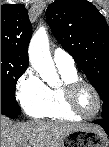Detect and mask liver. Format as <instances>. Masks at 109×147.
<instances>
[{
	"instance_id": "liver-1",
	"label": "liver",
	"mask_w": 109,
	"mask_h": 147,
	"mask_svg": "<svg viewBox=\"0 0 109 147\" xmlns=\"http://www.w3.org/2000/svg\"><path fill=\"white\" fill-rule=\"evenodd\" d=\"M75 130L104 133L93 124H75L32 120L13 124L1 117V147H62L65 136Z\"/></svg>"
}]
</instances>
